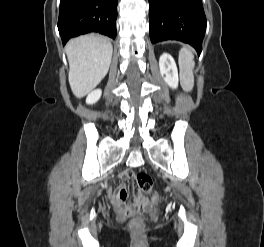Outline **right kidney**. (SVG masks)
Instances as JSON below:
<instances>
[{
  "label": "right kidney",
  "mask_w": 264,
  "mask_h": 247,
  "mask_svg": "<svg viewBox=\"0 0 264 247\" xmlns=\"http://www.w3.org/2000/svg\"><path fill=\"white\" fill-rule=\"evenodd\" d=\"M102 91L100 89L93 90L90 92L86 98L87 104H94L96 103L101 97Z\"/></svg>",
  "instance_id": "obj_1"
}]
</instances>
